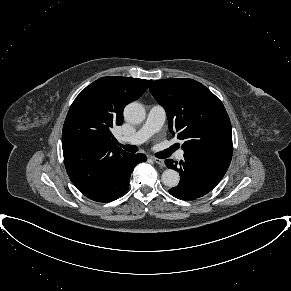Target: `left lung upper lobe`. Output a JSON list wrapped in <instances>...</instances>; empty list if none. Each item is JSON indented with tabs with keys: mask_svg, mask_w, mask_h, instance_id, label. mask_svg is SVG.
<instances>
[{
	"mask_svg": "<svg viewBox=\"0 0 291 291\" xmlns=\"http://www.w3.org/2000/svg\"><path fill=\"white\" fill-rule=\"evenodd\" d=\"M150 92L167 113L169 130L183 140L184 153L232 154L229 116L218 97L188 79L156 80Z\"/></svg>",
	"mask_w": 291,
	"mask_h": 291,
	"instance_id": "5c2ea615",
	"label": "left lung upper lobe"
}]
</instances>
